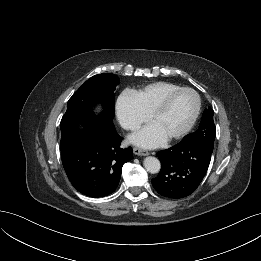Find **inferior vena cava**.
<instances>
[{
	"instance_id": "obj_1",
	"label": "inferior vena cava",
	"mask_w": 261,
	"mask_h": 261,
	"mask_svg": "<svg viewBox=\"0 0 261 261\" xmlns=\"http://www.w3.org/2000/svg\"><path fill=\"white\" fill-rule=\"evenodd\" d=\"M127 128H128V129H131V130H135V129H137V126H135V125H129V126H127Z\"/></svg>"
}]
</instances>
